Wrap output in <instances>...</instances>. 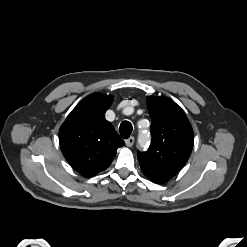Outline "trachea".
Returning a JSON list of instances; mask_svg holds the SVG:
<instances>
[{
    "instance_id": "1",
    "label": "trachea",
    "mask_w": 247,
    "mask_h": 247,
    "mask_svg": "<svg viewBox=\"0 0 247 247\" xmlns=\"http://www.w3.org/2000/svg\"><path fill=\"white\" fill-rule=\"evenodd\" d=\"M119 131H120V135L127 139L129 138L131 132H132V124L128 121H123L121 124H120V128H119Z\"/></svg>"
}]
</instances>
